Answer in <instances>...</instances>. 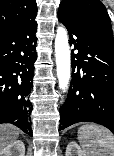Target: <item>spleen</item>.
Masks as SVG:
<instances>
[{
    "label": "spleen",
    "instance_id": "1",
    "mask_svg": "<svg viewBox=\"0 0 114 156\" xmlns=\"http://www.w3.org/2000/svg\"><path fill=\"white\" fill-rule=\"evenodd\" d=\"M78 141L86 156H114V135L101 125H82L78 130Z\"/></svg>",
    "mask_w": 114,
    "mask_h": 156
}]
</instances>
